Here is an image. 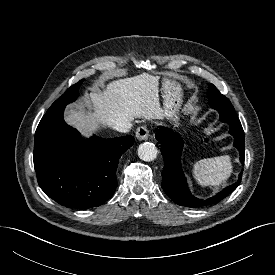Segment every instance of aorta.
Masks as SVG:
<instances>
[{
	"instance_id": "1",
	"label": "aorta",
	"mask_w": 275,
	"mask_h": 275,
	"mask_svg": "<svg viewBox=\"0 0 275 275\" xmlns=\"http://www.w3.org/2000/svg\"><path fill=\"white\" fill-rule=\"evenodd\" d=\"M157 148L155 144L150 142H144L138 147V156L141 160L150 162L157 157Z\"/></svg>"
}]
</instances>
